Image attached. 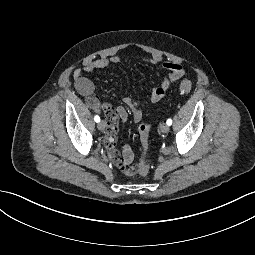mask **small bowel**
Instances as JSON below:
<instances>
[{"instance_id":"obj_1","label":"small bowel","mask_w":255,"mask_h":255,"mask_svg":"<svg viewBox=\"0 0 255 255\" xmlns=\"http://www.w3.org/2000/svg\"><path fill=\"white\" fill-rule=\"evenodd\" d=\"M145 61L157 65L160 64L162 69L166 72L165 77L161 83L156 86L151 93L150 102L158 103L161 101L171 86L179 80L184 70L182 66L176 62L164 61L162 57L152 56L145 58ZM121 59L117 55L109 57H99L93 60L85 61L83 69L91 72L97 69L107 68L111 64H119ZM74 84L77 91L85 98L87 105L94 109L100 110L105 114L107 119L108 130L105 138V147L110 160L118 167V169L126 175H133L136 168L131 166L134 159L133 151L128 144L123 147L122 153L116 148L118 122L125 123L128 119V109L135 121H140L143 117L144 109L138 100L126 97L123 99L125 105H119L114 108L109 103L100 100L94 93L95 87L93 82L82 75V69L76 68L73 71Z\"/></svg>"}]
</instances>
